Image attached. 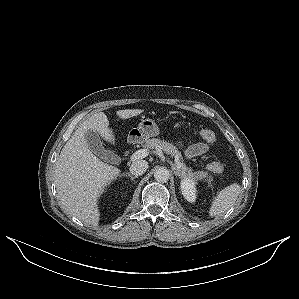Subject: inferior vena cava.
<instances>
[{
    "label": "inferior vena cava",
    "instance_id": "1",
    "mask_svg": "<svg viewBox=\"0 0 299 299\" xmlns=\"http://www.w3.org/2000/svg\"><path fill=\"white\" fill-rule=\"evenodd\" d=\"M147 169H148V162L145 160L135 161L130 166V172L136 176L144 174Z\"/></svg>",
    "mask_w": 299,
    "mask_h": 299
}]
</instances>
